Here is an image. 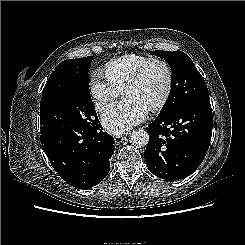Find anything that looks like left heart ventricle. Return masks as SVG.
Listing matches in <instances>:
<instances>
[{
  "label": "left heart ventricle",
  "instance_id": "1",
  "mask_svg": "<svg viewBox=\"0 0 245 245\" xmlns=\"http://www.w3.org/2000/svg\"><path fill=\"white\" fill-rule=\"evenodd\" d=\"M166 81L164 67L159 63H153L147 68L139 83L125 92V96L137 99L149 109L162 98Z\"/></svg>",
  "mask_w": 245,
  "mask_h": 245
}]
</instances>
